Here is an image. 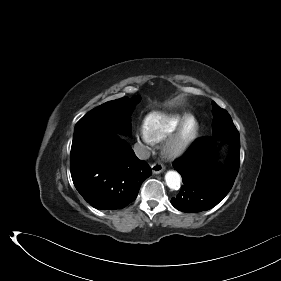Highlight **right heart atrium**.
Segmentation results:
<instances>
[{
  "mask_svg": "<svg viewBox=\"0 0 281 281\" xmlns=\"http://www.w3.org/2000/svg\"><path fill=\"white\" fill-rule=\"evenodd\" d=\"M139 137L140 139L145 142V143H150L151 141L149 140V138L147 137V135L145 134L144 130H141L139 132Z\"/></svg>",
  "mask_w": 281,
  "mask_h": 281,
  "instance_id": "obj_1",
  "label": "right heart atrium"
}]
</instances>
